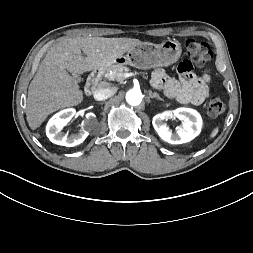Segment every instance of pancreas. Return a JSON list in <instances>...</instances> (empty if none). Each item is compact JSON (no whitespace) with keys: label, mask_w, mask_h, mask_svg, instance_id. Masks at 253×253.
Returning a JSON list of instances; mask_svg holds the SVG:
<instances>
[{"label":"pancreas","mask_w":253,"mask_h":253,"mask_svg":"<svg viewBox=\"0 0 253 253\" xmlns=\"http://www.w3.org/2000/svg\"><path fill=\"white\" fill-rule=\"evenodd\" d=\"M129 71L126 66H112L110 72L106 74V77L112 81H122L124 79V74Z\"/></svg>","instance_id":"cf45deb5"}]
</instances>
